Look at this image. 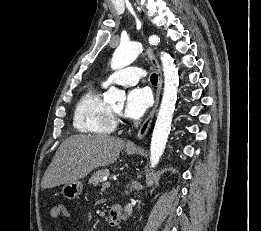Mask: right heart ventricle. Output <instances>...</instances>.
<instances>
[{"mask_svg":"<svg viewBox=\"0 0 261 231\" xmlns=\"http://www.w3.org/2000/svg\"><path fill=\"white\" fill-rule=\"evenodd\" d=\"M112 109L97 88L89 89L77 102L73 114L76 131L92 135H109L115 130Z\"/></svg>","mask_w":261,"mask_h":231,"instance_id":"right-heart-ventricle-1","label":"right heart ventricle"}]
</instances>
